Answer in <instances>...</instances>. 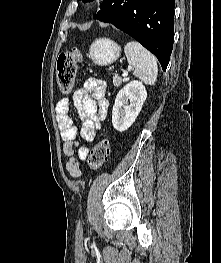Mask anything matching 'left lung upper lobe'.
<instances>
[{
  "label": "left lung upper lobe",
  "instance_id": "5c2ea615",
  "mask_svg": "<svg viewBox=\"0 0 221 263\" xmlns=\"http://www.w3.org/2000/svg\"><path fill=\"white\" fill-rule=\"evenodd\" d=\"M83 2H88V1H91V0H82Z\"/></svg>",
  "mask_w": 221,
  "mask_h": 263
}]
</instances>
